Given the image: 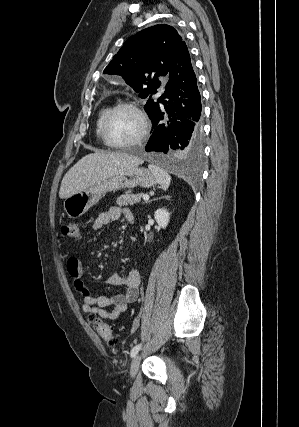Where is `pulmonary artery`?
Segmentation results:
<instances>
[{"label": "pulmonary artery", "instance_id": "obj_1", "mask_svg": "<svg viewBox=\"0 0 299 427\" xmlns=\"http://www.w3.org/2000/svg\"><path fill=\"white\" fill-rule=\"evenodd\" d=\"M164 93V88H161L159 94L162 95Z\"/></svg>", "mask_w": 299, "mask_h": 427}]
</instances>
